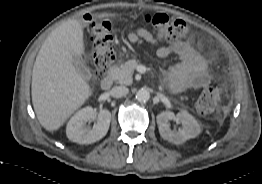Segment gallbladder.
Returning <instances> with one entry per match:
<instances>
[{"label":"gallbladder","mask_w":262,"mask_h":184,"mask_svg":"<svg viewBox=\"0 0 262 184\" xmlns=\"http://www.w3.org/2000/svg\"><path fill=\"white\" fill-rule=\"evenodd\" d=\"M73 65L77 71V73L83 77L84 79H89L91 76L90 70L84 65V63L76 58L73 62Z\"/></svg>","instance_id":"1"}]
</instances>
